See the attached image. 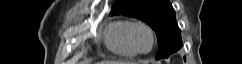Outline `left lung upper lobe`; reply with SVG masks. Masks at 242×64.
<instances>
[{
    "label": "left lung upper lobe",
    "mask_w": 242,
    "mask_h": 64,
    "mask_svg": "<svg viewBox=\"0 0 242 64\" xmlns=\"http://www.w3.org/2000/svg\"><path fill=\"white\" fill-rule=\"evenodd\" d=\"M139 18L155 30L159 50L156 59L167 58L182 47L181 30L169 0H117L110 15Z\"/></svg>",
    "instance_id": "left-lung-upper-lobe-1"
}]
</instances>
